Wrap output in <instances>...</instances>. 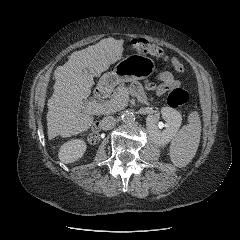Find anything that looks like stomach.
I'll return each instance as SVG.
<instances>
[{
	"label": "stomach",
	"instance_id": "1",
	"mask_svg": "<svg viewBox=\"0 0 240 240\" xmlns=\"http://www.w3.org/2000/svg\"><path fill=\"white\" fill-rule=\"evenodd\" d=\"M155 71L154 61L141 54H132L120 60L114 70L105 73L99 82L103 88H111L120 82H131L142 80Z\"/></svg>",
	"mask_w": 240,
	"mask_h": 240
}]
</instances>
